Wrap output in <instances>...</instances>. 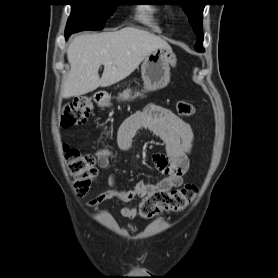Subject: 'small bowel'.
<instances>
[{
	"mask_svg": "<svg viewBox=\"0 0 278 278\" xmlns=\"http://www.w3.org/2000/svg\"><path fill=\"white\" fill-rule=\"evenodd\" d=\"M147 130L160 138L165 144V152L154 156V163L163 174L157 183L137 182L131 190L117 186L114 175L109 177V188L89 201L96 207L108 200L128 204L138 198L143 199L156 191H171L182 185L183 176L189 168V155L194 142V132L189 123L175 113L159 105L149 104L143 110L127 118L118 130V145L129 151L138 131ZM101 169L111 165V154H99L97 159ZM124 218L132 219L137 213L134 205H125L121 211Z\"/></svg>",
	"mask_w": 278,
	"mask_h": 278,
	"instance_id": "1",
	"label": "small bowel"
}]
</instances>
